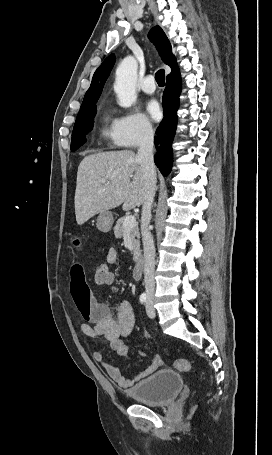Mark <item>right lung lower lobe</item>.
Listing matches in <instances>:
<instances>
[{
    "label": "right lung lower lobe",
    "mask_w": 272,
    "mask_h": 455,
    "mask_svg": "<svg viewBox=\"0 0 272 455\" xmlns=\"http://www.w3.org/2000/svg\"><path fill=\"white\" fill-rule=\"evenodd\" d=\"M181 92L180 73L166 79V88L163 94L164 118L156 130L155 136L158 154L155 156V164L164 176H167L172 168V141L177 124V110L179 107V95Z\"/></svg>",
    "instance_id": "1"
}]
</instances>
